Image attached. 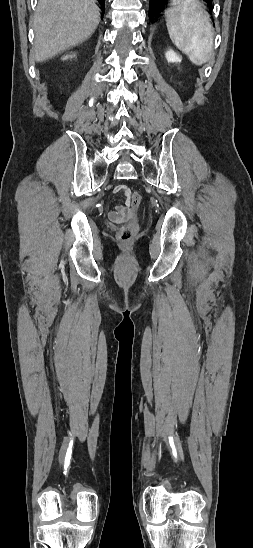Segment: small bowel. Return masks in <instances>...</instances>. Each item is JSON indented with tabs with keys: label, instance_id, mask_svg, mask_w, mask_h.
Here are the masks:
<instances>
[{
	"label": "small bowel",
	"instance_id": "small-bowel-1",
	"mask_svg": "<svg viewBox=\"0 0 253 548\" xmlns=\"http://www.w3.org/2000/svg\"><path fill=\"white\" fill-rule=\"evenodd\" d=\"M115 192L116 193H121L122 195H124L125 197V203L124 205H120L118 207H116L114 210L110 211L108 216H109V219L115 223H121V222H124L126 221L127 219L131 218L132 216V211L130 210V207H129V189L127 186L125 185H118L116 188H115Z\"/></svg>",
	"mask_w": 253,
	"mask_h": 548
}]
</instances>
